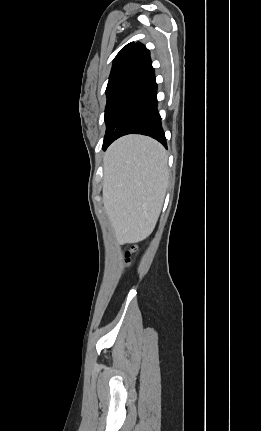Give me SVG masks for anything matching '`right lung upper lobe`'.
I'll use <instances>...</instances> for the list:
<instances>
[{
	"label": "right lung upper lobe",
	"mask_w": 261,
	"mask_h": 431,
	"mask_svg": "<svg viewBox=\"0 0 261 431\" xmlns=\"http://www.w3.org/2000/svg\"><path fill=\"white\" fill-rule=\"evenodd\" d=\"M149 65H151L149 50L139 42H131L116 55L109 80L129 72L141 73Z\"/></svg>",
	"instance_id": "right-lung-upper-lobe-1"
}]
</instances>
